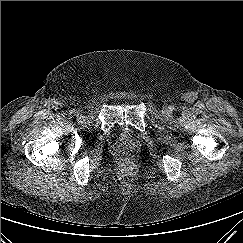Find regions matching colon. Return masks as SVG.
Masks as SVG:
<instances>
[{"mask_svg": "<svg viewBox=\"0 0 243 243\" xmlns=\"http://www.w3.org/2000/svg\"><path fill=\"white\" fill-rule=\"evenodd\" d=\"M126 164L129 165L130 164V161H126Z\"/></svg>", "mask_w": 243, "mask_h": 243, "instance_id": "1", "label": "colon"}]
</instances>
